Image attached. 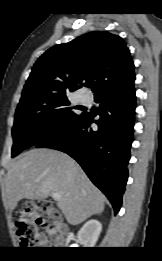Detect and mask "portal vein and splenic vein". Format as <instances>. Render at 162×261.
I'll return each instance as SVG.
<instances>
[{
    "mask_svg": "<svg viewBox=\"0 0 162 261\" xmlns=\"http://www.w3.org/2000/svg\"><path fill=\"white\" fill-rule=\"evenodd\" d=\"M51 196L54 200H57V201L61 199V195L57 192L52 193Z\"/></svg>",
    "mask_w": 162,
    "mask_h": 261,
    "instance_id": "1",
    "label": "portal vein and splenic vein"
}]
</instances>
